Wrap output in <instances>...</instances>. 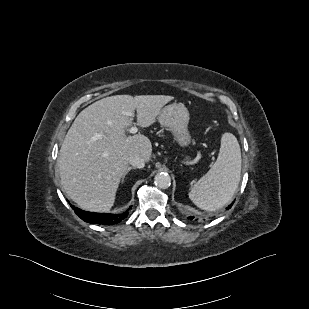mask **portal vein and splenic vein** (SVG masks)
<instances>
[{"mask_svg":"<svg viewBox=\"0 0 309 309\" xmlns=\"http://www.w3.org/2000/svg\"><path fill=\"white\" fill-rule=\"evenodd\" d=\"M129 116H133V113H129ZM129 133H136L137 132V128L136 127H132L129 130ZM200 156L197 157V159H199Z\"/></svg>","mask_w":309,"mask_h":309,"instance_id":"obj_1","label":"portal vein and splenic vein"}]
</instances>
